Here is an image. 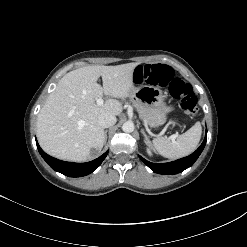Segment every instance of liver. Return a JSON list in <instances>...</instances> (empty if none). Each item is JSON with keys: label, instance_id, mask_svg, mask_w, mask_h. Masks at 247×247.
Returning a JSON list of instances; mask_svg holds the SVG:
<instances>
[{"label": "liver", "instance_id": "obj_1", "mask_svg": "<svg viewBox=\"0 0 247 247\" xmlns=\"http://www.w3.org/2000/svg\"><path fill=\"white\" fill-rule=\"evenodd\" d=\"M138 63L117 66L92 65L64 75L48 96L37 118V138L42 149L62 160L82 162L96 156L104 145V130L98 118L104 113L120 115L122 105L104 95L127 98L134 89L133 73ZM102 77L103 87L97 80ZM95 154H91V150Z\"/></svg>", "mask_w": 247, "mask_h": 247}]
</instances>
